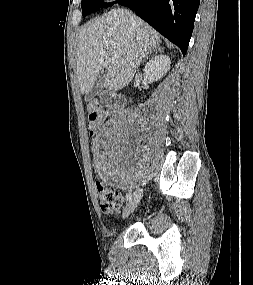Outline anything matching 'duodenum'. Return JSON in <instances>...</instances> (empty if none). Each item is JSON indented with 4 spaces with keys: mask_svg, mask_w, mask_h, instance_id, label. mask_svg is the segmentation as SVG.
Masks as SVG:
<instances>
[{
    "mask_svg": "<svg viewBox=\"0 0 253 285\" xmlns=\"http://www.w3.org/2000/svg\"><path fill=\"white\" fill-rule=\"evenodd\" d=\"M103 104L108 108L110 114L122 110L126 105V99L123 95L116 92H106L102 97Z\"/></svg>",
    "mask_w": 253,
    "mask_h": 285,
    "instance_id": "410a0bca",
    "label": "duodenum"
}]
</instances>
